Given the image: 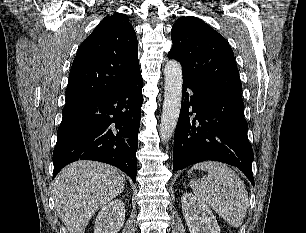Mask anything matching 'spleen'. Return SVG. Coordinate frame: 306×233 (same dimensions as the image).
<instances>
[{"instance_id": "1", "label": "spleen", "mask_w": 306, "mask_h": 233, "mask_svg": "<svg viewBox=\"0 0 306 233\" xmlns=\"http://www.w3.org/2000/svg\"><path fill=\"white\" fill-rule=\"evenodd\" d=\"M193 169L208 173L201 179L190 181L195 196L207 203L230 226L240 227L249 205L248 192L240 177L221 162H200Z\"/></svg>"}]
</instances>
